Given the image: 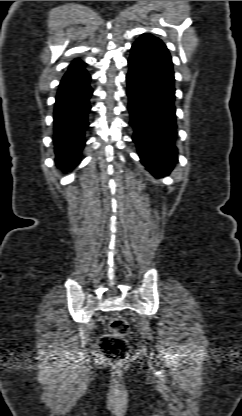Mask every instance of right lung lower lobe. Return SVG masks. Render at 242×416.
Segmentation results:
<instances>
[{"label":"right lung lower lobe","instance_id":"right-lung-lower-lobe-1","mask_svg":"<svg viewBox=\"0 0 242 416\" xmlns=\"http://www.w3.org/2000/svg\"><path fill=\"white\" fill-rule=\"evenodd\" d=\"M87 71L68 69L57 92L54 109V145L56 165L71 171L79 162L85 146V130L89 126V99L92 89Z\"/></svg>","mask_w":242,"mask_h":416}]
</instances>
